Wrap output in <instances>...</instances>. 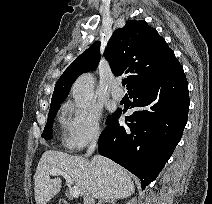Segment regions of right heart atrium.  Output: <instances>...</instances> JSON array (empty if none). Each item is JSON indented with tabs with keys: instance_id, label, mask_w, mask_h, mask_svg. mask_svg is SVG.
Listing matches in <instances>:
<instances>
[{
	"instance_id": "right-heart-atrium-1",
	"label": "right heart atrium",
	"mask_w": 212,
	"mask_h": 204,
	"mask_svg": "<svg viewBox=\"0 0 212 204\" xmlns=\"http://www.w3.org/2000/svg\"><path fill=\"white\" fill-rule=\"evenodd\" d=\"M100 120L101 113L97 108L67 103L62 119L65 146L79 151L95 142L101 134Z\"/></svg>"
}]
</instances>
